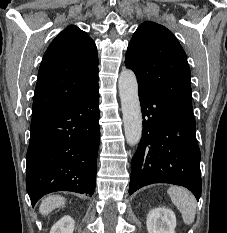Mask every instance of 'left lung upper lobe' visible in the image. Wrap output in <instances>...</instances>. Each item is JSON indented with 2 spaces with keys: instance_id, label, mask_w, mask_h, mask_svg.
Wrapping results in <instances>:
<instances>
[{
  "instance_id": "5c2ea615",
  "label": "left lung upper lobe",
  "mask_w": 227,
  "mask_h": 233,
  "mask_svg": "<svg viewBox=\"0 0 227 233\" xmlns=\"http://www.w3.org/2000/svg\"><path fill=\"white\" fill-rule=\"evenodd\" d=\"M125 64L138 79V87L192 108L190 68L176 37L164 26L146 21L135 31Z\"/></svg>"
}]
</instances>
